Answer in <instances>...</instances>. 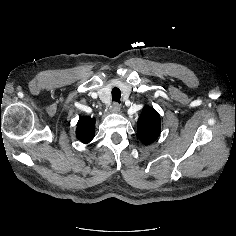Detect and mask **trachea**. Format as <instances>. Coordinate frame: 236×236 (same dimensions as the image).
I'll return each instance as SVG.
<instances>
[{"mask_svg":"<svg viewBox=\"0 0 236 236\" xmlns=\"http://www.w3.org/2000/svg\"><path fill=\"white\" fill-rule=\"evenodd\" d=\"M120 98H121V91L119 88L117 87H114L112 89V100L117 102V103H120Z\"/></svg>","mask_w":236,"mask_h":236,"instance_id":"trachea-1","label":"trachea"}]
</instances>
